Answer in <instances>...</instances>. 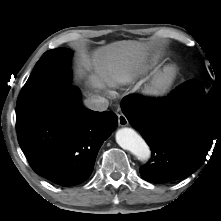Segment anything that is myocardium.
<instances>
[{
  "label": "myocardium",
  "mask_w": 221,
  "mask_h": 221,
  "mask_svg": "<svg viewBox=\"0 0 221 221\" xmlns=\"http://www.w3.org/2000/svg\"><path fill=\"white\" fill-rule=\"evenodd\" d=\"M178 69L175 65H167L161 69L146 86L145 94L150 98H159L167 94L172 88Z\"/></svg>",
  "instance_id": "f54148a6"
}]
</instances>
